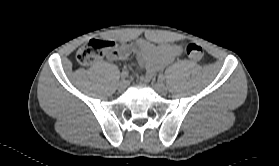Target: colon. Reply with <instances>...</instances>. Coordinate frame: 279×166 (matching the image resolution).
<instances>
[{"label": "colon", "mask_w": 279, "mask_h": 166, "mask_svg": "<svg viewBox=\"0 0 279 166\" xmlns=\"http://www.w3.org/2000/svg\"><path fill=\"white\" fill-rule=\"evenodd\" d=\"M124 47L123 44L110 40H91L77 51L76 60L80 65L89 66L97 62L104 55L120 52ZM184 51L187 57L195 62H200L204 58L203 49L195 43L186 44Z\"/></svg>", "instance_id": "5ec220e1"}]
</instances>
